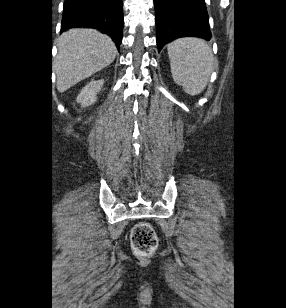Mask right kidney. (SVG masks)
I'll list each match as a JSON object with an SVG mask.
<instances>
[{
    "mask_svg": "<svg viewBox=\"0 0 286 308\" xmlns=\"http://www.w3.org/2000/svg\"><path fill=\"white\" fill-rule=\"evenodd\" d=\"M104 81H91L87 84L77 96V102L80 103L83 107L91 105L97 100V93L101 90Z\"/></svg>",
    "mask_w": 286,
    "mask_h": 308,
    "instance_id": "1",
    "label": "right kidney"
}]
</instances>
